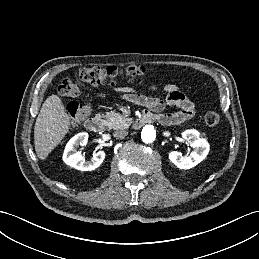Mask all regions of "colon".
I'll return each mask as SVG.
<instances>
[{
    "label": "colon",
    "mask_w": 259,
    "mask_h": 259,
    "mask_svg": "<svg viewBox=\"0 0 259 259\" xmlns=\"http://www.w3.org/2000/svg\"><path fill=\"white\" fill-rule=\"evenodd\" d=\"M81 82L90 85H115L119 81L140 84L150 77V70L144 66H130L125 69L110 67H85L77 75ZM61 95L66 97H79L81 89L77 80L72 78L64 79L59 88ZM68 116L71 125H75L85 120L91 112V105L88 102L72 101L67 107ZM220 121V115L217 111L211 110L205 114V122L209 126H215Z\"/></svg>",
    "instance_id": "colon-1"
}]
</instances>
